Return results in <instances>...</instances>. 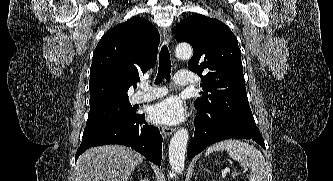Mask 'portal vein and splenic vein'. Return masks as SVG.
I'll list each match as a JSON object with an SVG mask.
<instances>
[{"label":"portal vein and splenic vein","mask_w":333,"mask_h":181,"mask_svg":"<svg viewBox=\"0 0 333 181\" xmlns=\"http://www.w3.org/2000/svg\"><path fill=\"white\" fill-rule=\"evenodd\" d=\"M237 175V172H232L231 176L235 177Z\"/></svg>","instance_id":"obj_1"}]
</instances>
